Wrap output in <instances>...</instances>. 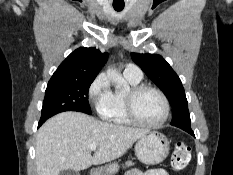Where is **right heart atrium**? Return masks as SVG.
Instances as JSON below:
<instances>
[{"label": "right heart atrium", "mask_w": 233, "mask_h": 175, "mask_svg": "<svg viewBox=\"0 0 233 175\" xmlns=\"http://www.w3.org/2000/svg\"><path fill=\"white\" fill-rule=\"evenodd\" d=\"M109 83L104 74H99L88 88L89 99L99 105L109 94Z\"/></svg>", "instance_id": "d8ad5b80"}]
</instances>
